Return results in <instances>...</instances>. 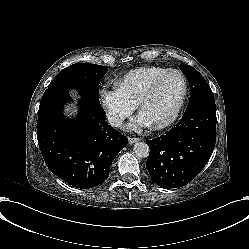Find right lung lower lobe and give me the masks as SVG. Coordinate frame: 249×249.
Returning <instances> with one entry per match:
<instances>
[{
    "label": "right lung lower lobe",
    "instance_id": "right-lung-lower-lobe-1",
    "mask_svg": "<svg viewBox=\"0 0 249 249\" xmlns=\"http://www.w3.org/2000/svg\"><path fill=\"white\" fill-rule=\"evenodd\" d=\"M68 98V89L44 92L38 112V144L53 173L75 187L92 188L109 176L112 161L128 139L108 125L101 105L84 97L78 118L65 117L62 107Z\"/></svg>",
    "mask_w": 249,
    "mask_h": 249
}]
</instances>
